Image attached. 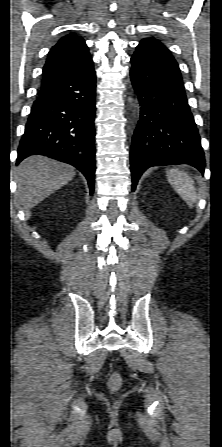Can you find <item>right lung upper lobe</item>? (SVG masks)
I'll return each instance as SVG.
<instances>
[{
    "label": "right lung upper lobe",
    "mask_w": 222,
    "mask_h": 447,
    "mask_svg": "<svg viewBox=\"0 0 222 447\" xmlns=\"http://www.w3.org/2000/svg\"><path fill=\"white\" fill-rule=\"evenodd\" d=\"M90 58L88 47L82 37L70 33L61 38L48 53L43 67L40 94L70 78Z\"/></svg>",
    "instance_id": "right-lung-upper-lobe-1"
}]
</instances>
